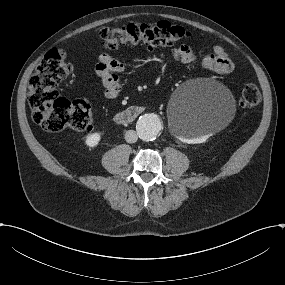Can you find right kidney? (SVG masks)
<instances>
[{"label": "right kidney", "instance_id": "right-kidney-1", "mask_svg": "<svg viewBox=\"0 0 285 285\" xmlns=\"http://www.w3.org/2000/svg\"><path fill=\"white\" fill-rule=\"evenodd\" d=\"M100 139H101L100 133L88 134V135L86 136L85 143H86V145L89 146V147H94V146L98 145Z\"/></svg>", "mask_w": 285, "mask_h": 285}]
</instances>
